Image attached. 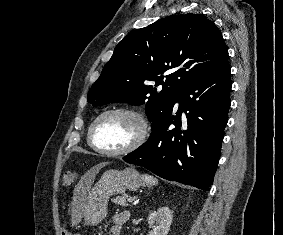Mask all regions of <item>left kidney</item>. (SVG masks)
<instances>
[{
	"mask_svg": "<svg viewBox=\"0 0 283 235\" xmlns=\"http://www.w3.org/2000/svg\"><path fill=\"white\" fill-rule=\"evenodd\" d=\"M172 212L168 207H160L148 216V223L152 228L149 235H167L172 223Z\"/></svg>",
	"mask_w": 283,
	"mask_h": 235,
	"instance_id": "5707ae66",
	"label": "left kidney"
}]
</instances>
